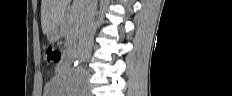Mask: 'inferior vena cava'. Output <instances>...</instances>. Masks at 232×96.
I'll use <instances>...</instances> for the list:
<instances>
[{
    "instance_id": "obj_1",
    "label": "inferior vena cava",
    "mask_w": 232,
    "mask_h": 96,
    "mask_svg": "<svg viewBox=\"0 0 232 96\" xmlns=\"http://www.w3.org/2000/svg\"><path fill=\"white\" fill-rule=\"evenodd\" d=\"M97 0L80 1V31L78 54L86 58L92 48L94 36V17L97 10Z\"/></svg>"
}]
</instances>
